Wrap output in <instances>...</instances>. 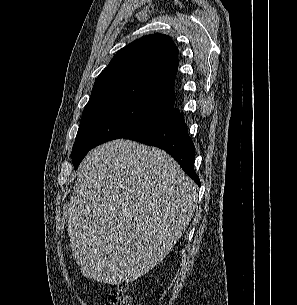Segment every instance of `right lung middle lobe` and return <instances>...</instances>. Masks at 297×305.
Here are the masks:
<instances>
[{
    "mask_svg": "<svg viewBox=\"0 0 297 305\" xmlns=\"http://www.w3.org/2000/svg\"><path fill=\"white\" fill-rule=\"evenodd\" d=\"M173 109V104L146 97H118L88 107L71 153L74 169L92 148L146 127Z\"/></svg>",
    "mask_w": 297,
    "mask_h": 305,
    "instance_id": "1",
    "label": "right lung middle lobe"
}]
</instances>
